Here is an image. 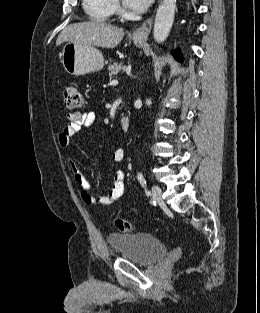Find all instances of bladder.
I'll list each match as a JSON object with an SVG mask.
<instances>
[{"instance_id": "31cf9c89", "label": "bladder", "mask_w": 260, "mask_h": 313, "mask_svg": "<svg viewBox=\"0 0 260 313\" xmlns=\"http://www.w3.org/2000/svg\"><path fill=\"white\" fill-rule=\"evenodd\" d=\"M107 241L123 258L141 265L151 266L167 255V246L153 235L109 234Z\"/></svg>"}]
</instances>
